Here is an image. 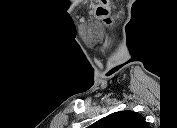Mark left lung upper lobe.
Returning <instances> with one entry per match:
<instances>
[{"label": "left lung upper lobe", "mask_w": 177, "mask_h": 128, "mask_svg": "<svg viewBox=\"0 0 177 128\" xmlns=\"http://www.w3.org/2000/svg\"><path fill=\"white\" fill-rule=\"evenodd\" d=\"M97 128H147L144 118L133 111L114 112L95 123Z\"/></svg>", "instance_id": "obj_1"}]
</instances>
